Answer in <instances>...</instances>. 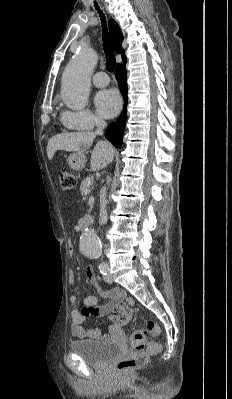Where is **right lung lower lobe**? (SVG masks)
Returning a JSON list of instances; mask_svg holds the SVG:
<instances>
[{"mask_svg":"<svg viewBox=\"0 0 232 399\" xmlns=\"http://www.w3.org/2000/svg\"><path fill=\"white\" fill-rule=\"evenodd\" d=\"M123 61V63L117 65L115 70V76L124 99V108L116 122L111 123L106 130V138L117 148H121L123 141V130L127 119V71L125 68L126 59H124Z\"/></svg>","mask_w":232,"mask_h":399,"instance_id":"98d812e1","label":"right lung lower lobe"}]
</instances>
